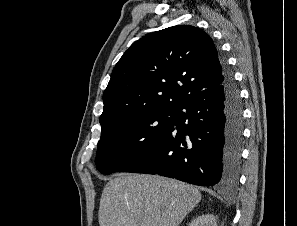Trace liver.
Returning a JSON list of instances; mask_svg holds the SVG:
<instances>
[{"mask_svg":"<svg viewBox=\"0 0 297 226\" xmlns=\"http://www.w3.org/2000/svg\"><path fill=\"white\" fill-rule=\"evenodd\" d=\"M200 191L158 175L121 174L103 189L100 226H178L201 201Z\"/></svg>","mask_w":297,"mask_h":226,"instance_id":"obj_1","label":"liver"}]
</instances>
